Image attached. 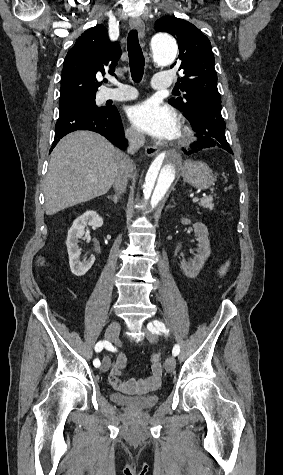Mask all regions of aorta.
<instances>
[{
  "instance_id": "762f6f07",
  "label": "aorta",
  "mask_w": 283,
  "mask_h": 475,
  "mask_svg": "<svg viewBox=\"0 0 283 475\" xmlns=\"http://www.w3.org/2000/svg\"><path fill=\"white\" fill-rule=\"evenodd\" d=\"M151 49L160 66L174 62L178 47L168 34H156L151 39ZM181 154L175 150L160 153L151 163L142 186L140 221L149 223L157 217L181 168Z\"/></svg>"
}]
</instances>
